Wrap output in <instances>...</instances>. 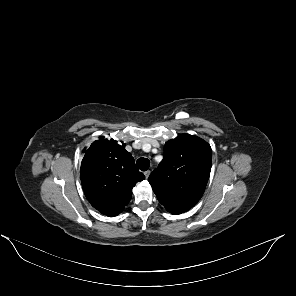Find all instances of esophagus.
Masks as SVG:
<instances>
[{"label": "esophagus", "mask_w": 296, "mask_h": 296, "mask_svg": "<svg viewBox=\"0 0 296 296\" xmlns=\"http://www.w3.org/2000/svg\"><path fill=\"white\" fill-rule=\"evenodd\" d=\"M144 175H145V178L148 179V177H149V175H150V171H149V170L146 171V172L144 173Z\"/></svg>", "instance_id": "obj_1"}]
</instances>
